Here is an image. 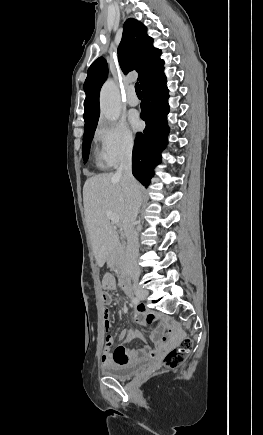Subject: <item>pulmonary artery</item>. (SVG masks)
<instances>
[{"instance_id": "e3ab8cb5", "label": "pulmonary artery", "mask_w": 263, "mask_h": 435, "mask_svg": "<svg viewBox=\"0 0 263 435\" xmlns=\"http://www.w3.org/2000/svg\"><path fill=\"white\" fill-rule=\"evenodd\" d=\"M127 103L130 106H137L139 104V99L135 94L134 88L130 87L127 94Z\"/></svg>"}]
</instances>
